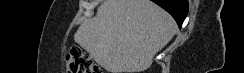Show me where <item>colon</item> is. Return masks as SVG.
Returning a JSON list of instances; mask_svg holds the SVG:
<instances>
[{"mask_svg":"<svg viewBox=\"0 0 244 73\" xmlns=\"http://www.w3.org/2000/svg\"><path fill=\"white\" fill-rule=\"evenodd\" d=\"M68 73H102L92 58L80 48H72L65 57Z\"/></svg>","mask_w":244,"mask_h":73,"instance_id":"1","label":"colon"}]
</instances>
